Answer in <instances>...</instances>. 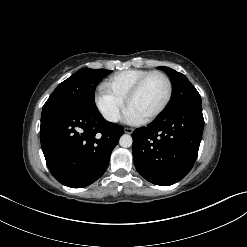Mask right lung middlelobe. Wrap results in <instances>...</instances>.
I'll list each match as a JSON object with an SVG mask.
<instances>
[{
    "label": "right lung middle lobe",
    "mask_w": 247,
    "mask_h": 247,
    "mask_svg": "<svg viewBox=\"0 0 247 247\" xmlns=\"http://www.w3.org/2000/svg\"><path fill=\"white\" fill-rule=\"evenodd\" d=\"M112 70L82 68L60 83L43 106L71 105L86 110H98L94 92L99 81Z\"/></svg>",
    "instance_id": "dd1d6c3e"
}]
</instances>
